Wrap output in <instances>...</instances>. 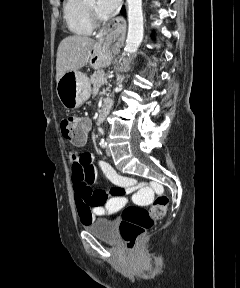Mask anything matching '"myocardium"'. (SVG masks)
<instances>
[{
	"mask_svg": "<svg viewBox=\"0 0 240 288\" xmlns=\"http://www.w3.org/2000/svg\"><path fill=\"white\" fill-rule=\"evenodd\" d=\"M86 5H87V8H88L90 19H91V22H92L93 26H98L102 22L101 18L96 13L95 8L93 6H91L87 2V0H86Z\"/></svg>",
	"mask_w": 240,
	"mask_h": 288,
	"instance_id": "1",
	"label": "myocardium"
}]
</instances>
